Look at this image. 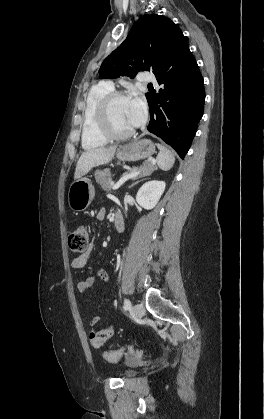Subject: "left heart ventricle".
<instances>
[{"instance_id":"left-heart-ventricle-1","label":"left heart ventricle","mask_w":264,"mask_h":419,"mask_svg":"<svg viewBox=\"0 0 264 419\" xmlns=\"http://www.w3.org/2000/svg\"><path fill=\"white\" fill-rule=\"evenodd\" d=\"M111 119L116 130L126 131L131 129L128 113H127V98H118L111 105Z\"/></svg>"}]
</instances>
